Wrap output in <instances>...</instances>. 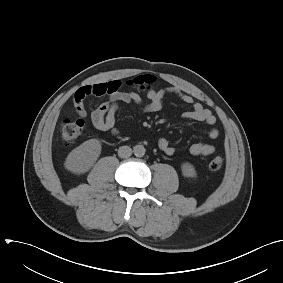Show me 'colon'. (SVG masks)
I'll use <instances>...</instances> for the list:
<instances>
[{
	"mask_svg": "<svg viewBox=\"0 0 283 283\" xmlns=\"http://www.w3.org/2000/svg\"><path fill=\"white\" fill-rule=\"evenodd\" d=\"M154 83V78L152 76H139L128 82L130 86L137 89H148ZM84 127V122L82 120H66L61 127V139L64 145H72L82 134ZM209 168L212 171H217L223 166V159L220 157H215L209 161Z\"/></svg>",
	"mask_w": 283,
	"mask_h": 283,
	"instance_id": "colon-1",
	"label": "colon"
}]
</instances>
